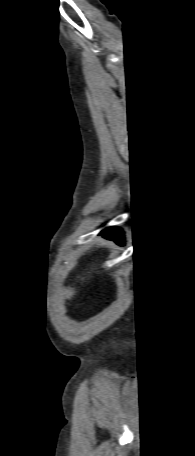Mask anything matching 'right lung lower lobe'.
<instances>
[{"label": "right lung lower lobe", "instance_id": "right-lung-lower-lobe-1", "mask_svg": "<svg viewBox=\"0 0 195 456\" xmlns=\"http://www.w3.org/2000/svg\"><path fill=\"white\" fill-rule=\"evenodd\" d=\"M105 237L115 240L120 244L124 243L123 232L119 228L110 227L102 231Z\"/></svg>", "mask_w": 195, "mask_h": 456}]
</instances>
